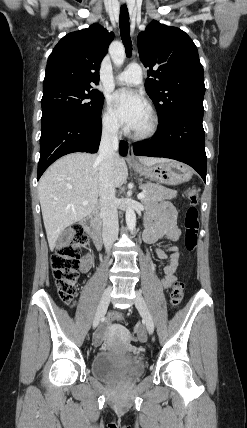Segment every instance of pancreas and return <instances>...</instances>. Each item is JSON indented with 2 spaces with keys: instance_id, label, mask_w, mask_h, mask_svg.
Listing matches in <instances>:
<instances>
[{
  "instance_id": "pancreas-1",
  "label": "pancreas",
  "mask_w": 247,
  "mask_h": 428,
  "mask_svg": "<svg viewBox=\"0 0 247 428\" xmlns=\"http://www.w3.org/2000/svg\"><path fill=\"white\" fill-rule=\"evenodd\" d=\"M140 189L145 193V197L142 199L144 205H148L151 202L170 200L177 196L175 190L151 183L140 185Z\"/></svg>"
}]
</instances>
